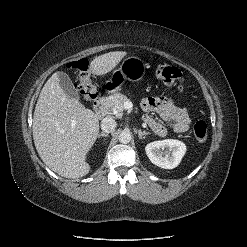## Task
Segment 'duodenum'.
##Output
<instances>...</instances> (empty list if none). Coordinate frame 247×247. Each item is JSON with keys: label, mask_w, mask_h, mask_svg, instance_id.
I'll return each mask as SVG.
<instances>
[{"label": "duodenum", "mask_w": 247, "mask_h": 247, "mask_svg": "<svg viewBox=\"0 0 247 247\" xmlns=\"http://www.w3.org/2000/svg\"><path fill=\"white\" fill-rule=\"evenodd\" d=\"M105 102H106L105 96H100L94 101V105H93L94 111L99 117L104 115Z\"/></svg>", "instance_id": "obj_1"}]
</instances>
